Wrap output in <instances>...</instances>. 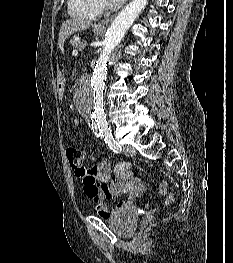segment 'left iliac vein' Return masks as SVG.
<instances>
[{
  "label": "left iliac vein",
  "mask_w": 233,
  "mask_h": 263,
  "mask_svg": "<svg viewBox=\"0 0 233 263\" xmlns=\"http://www.w3.org/2000/svg\"><path fill=\"white\" fill-rule=\"evenodd\" d=\"M122 152L125 156H128V157H132L136 154V150L132 145L123 146Z\"/></svg>",
  "instance_id": "1"
}]
</instances>
